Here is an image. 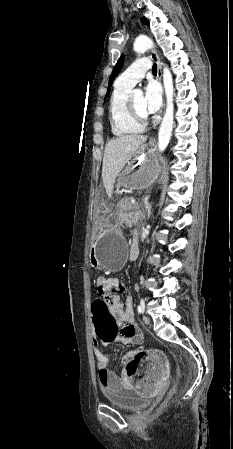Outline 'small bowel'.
<instances>
[{"mask_svg":"<svg viewBox=\"0 0 233 449\" xmlns=\"http://www.w3.org/2000/svg\"><path fill=\"white\" fill-rule=\"evenodd\" d=\"M131 257L135 253L130 252ZM96 296H100V301L107 302V310L110 311L112 319H115L118 330L116 342L125 345L140 346L143 344V334L140 327L135 323L133 313V299L126 296L124 302L112 291H124V284L111 274H97L93 281ZM97 334H93V354L96 358L99 371V381L104 388H113L122 383L131 384L132 390H138L141 399H154L155 394H159L164 377L169 372V363H166V354H163L162 347H147L146 355L149 356L147 368L142 369V375H124L119 377L108 369V358L100 349ZM108 345L109 343H102ZM128 353L126 356L131 355ZM125 356V357H126Z\"/></svg>","mask_w":233,"mask_h":449,"instance_id":"c3829d8e","label":"small bowel"}]
</instances>
